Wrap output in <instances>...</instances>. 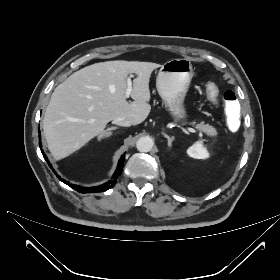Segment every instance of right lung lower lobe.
Wrapping results in <instances>:
<instances>
[{"mask_svg":"<svg viewBox=\"0 0 280 280\" xmlns=\"http://www.w3.org/2000/svg\"><path fill=\"white\" fill-rule=\"evenodd\" d=\"M39 137H40V135H39ZM39 146H40V148L42 147L41 141H39ZM41 152H42V154H43L45 160L47 161L48 165H49L50 167H52L51 164H50V162H49L48 159H47V156L45 155V153H44V151H43L42 149H41ZM124 160H125V155H122L121 158H120V160H119V162H118L117 169H116V171H115V173H114V175H113V177H112V178H113L112 180H109L108 182H106V183H104V184H102V185L94 186V187H82V186H79V185L70 184L69 182H67V181H65L64 179H62L59 175H57V173H56L54 170H53V172L55 173V175L58 177V179H59L60 181H62V182H64L65 184L69 185L71 188H73L74 190H76V191H78V192H80V193H90V192H91V193H97V192H104V191H106V190L112 188V187L115 185V183H116L118 177L120 176V174H121V172H122V169H123V166H124Z\"/></svg>","mask_w":280,"mask_h":280,"instance_id":"right-lung-lower-lobe-1","label":"right lung lower lobe"}]
</instances>
